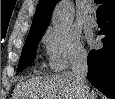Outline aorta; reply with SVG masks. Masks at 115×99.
<instances>
[{"label": "aorta", "instance_id": "obj_1", "mask_svg": "<svg viewBox=\"0 0 115 99\" xmlns=\"http://www.w3.org/2000/svg\"><path fill=\"white\" fill-rule=\"evenodd\" d=\"M73 19L74 11L72 6L68 3H62L53 14V28L57 31H64L72 24Z\"/></svg>", "mask_w": 115, "mask_h": 99}]
</instances>
